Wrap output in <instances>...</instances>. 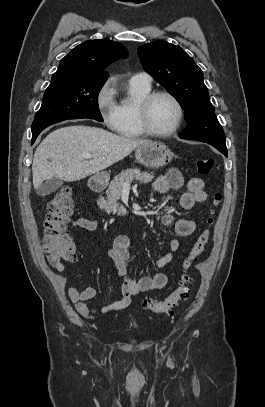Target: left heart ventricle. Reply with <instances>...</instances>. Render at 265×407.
<instances>
[{
  "label": "left heart ventricle",
  "instance_id": "b2bd125f",
  "mask_svg": "<svg viewBox=\"0 0 265 407\" xmlns=\"http://www.w3.org/2000/svg\"><path fill=\"white\" fill-rule=\"evenodd\" d=\"M177 114V108L173 101L166 96H159L150 107V126L158 132L168 131L174 126Z\"/></svg>",
  "mask_w": 265,
  "mask_h": 407
}]
</instances>
